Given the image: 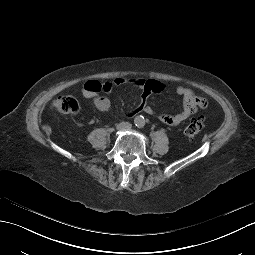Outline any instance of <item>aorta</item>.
<instances>
[{
	"mask_svg": "<svg viewBox=\"0 0 255 255\" xmlns=\"http://www.w3.org/2000/svg\"><path fill=\"white\" fill-rule=\"evenodd\" d=\"M134 122H135V124H136L137 126H142V125L145 124L144 117L141 116V115H140V116H136Z\"/></svg>",
	"mask_w": 255,
	"mask_h": 255,
	"instance_id": "1",
	"label": "aorta"
}]
</instances>
